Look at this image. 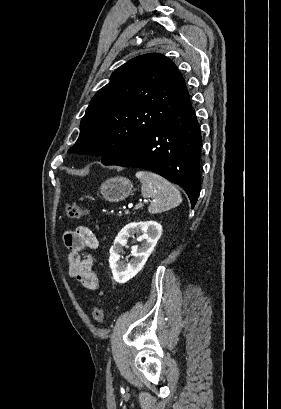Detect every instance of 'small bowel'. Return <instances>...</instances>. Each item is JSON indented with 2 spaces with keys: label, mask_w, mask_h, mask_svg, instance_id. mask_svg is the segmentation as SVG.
Here are the masks:
<instances>
[{
  "label": "small bowel",
  "mask_w": 281,
  "mask_h": 409,
  "mask_svg": "<svg viewBox=\"0 0 281 409\" xmlns=\"http://www.w3.org/2000/svg\"><path fill=\"white\" fill-rule=\"evenodd\" d=\"M68 248V275L87 289H97L96 259L92 251L98 247L96 235L86 226L66 231L63 237Z\"/></svg>",
  "instance_id": "small-bowel-1"
}]
</instances>
